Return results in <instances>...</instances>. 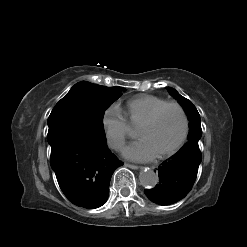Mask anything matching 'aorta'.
Returning <instances> with one entry per match:
<instances>
[{"mask_svg":"<svg viewBox=\"0 0 247 247\" xmlns=\"http://www.w3.org/2000/svg\"><path fill=\"white\" fill-rule=\"evenodd\" d=\"M139 180L142 186L153 188L158 183V176L153 170L145 169L140 172Z\"/></svg>","mask_w":247,"mask_h":247,"instance_id":"1","label":"aorta"}]
</instances>
